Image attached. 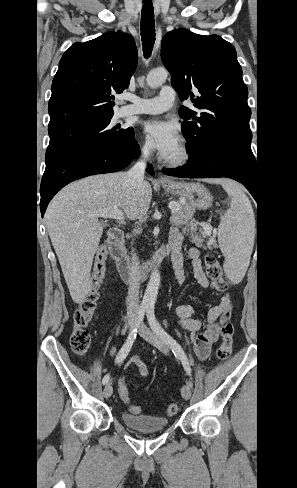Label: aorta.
<instances>
[{"label":"aorta","instance_id":"762f6f07","mask_svg":"<svg viewBox=\"0 0 297 488\" xmlns=\"http://www.w3.org/2000/svg\"><path fill=\"white\" fill-rule=\"evenodd\" d=\"M168 72L164 68H157L152 70L146 77V82L151 88H157L161 86L167 79ZM160 286V273L158 270L152 272L147 288L145 290L142 304L147 307H154L158 289Z\"/></svg>","mask_w":297,"mask_h":488}]
</instances>
